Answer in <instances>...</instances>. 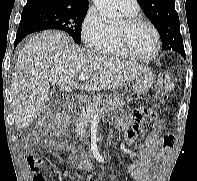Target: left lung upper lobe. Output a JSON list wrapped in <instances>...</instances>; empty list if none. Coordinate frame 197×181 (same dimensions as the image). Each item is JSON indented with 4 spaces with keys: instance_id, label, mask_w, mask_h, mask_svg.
I'll use <instances>...</instances> for the list:
<instances>
[{
    "instance_id": "obj_1",
    "label": "left lung upper lobe",
    "mask_w": 197,
    "mask_h": 181,
    "mask_svg": "<svg viewBox=\"0 0 197 181\" xmlns=\"http://www.w3.org/2000/svg\"><path fill=\"white\" fill-rule=\"evenodd\" d=\"M144 14L158 30L164 50H174L185 58L180 21L174 0H137Z\"/></svg>"
}]
</instances>
